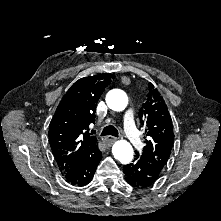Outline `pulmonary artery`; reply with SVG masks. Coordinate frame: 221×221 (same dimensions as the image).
<instances>
[{
  "label": "pulmonary artery",
  "instance_id": "1",
  "mask_svg": "<svg viewBox=\"0 0 221 221\" xmlns=\"http://www.w3.org/2000/svg\"><path fill=\"white\" fill-rule=\"evenodd\" d=\"M123 126L124 131L128 139L135 145L140 147L141 146V140L139 135L137 134L135 124H134V118H133V110L132 109H126L124 110L123 114Z\"/></svg>",
  "mask_w": 221,
  "mask_h": 221
}]
</instances>
